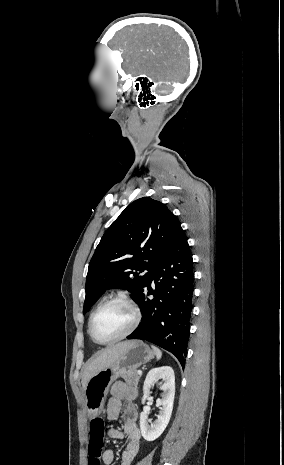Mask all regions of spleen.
<instances>
[{
  "mask_svg": "<svg viewBox=\"0 0 284 465\" xmlns=\"http://www.w3.org/2000/svg\"><path fill=\"white\" fill-rule=\"evenodd\" d=\"M152 349H153L157 359H161L162 353H161L160 349H157V347H153V345H152Z\"/></svg>",
  "mask_w": 284,
  "mask_h": 465,
  "instance_id": "obj_1",
  "label": "spleen"
}]
</instances>
